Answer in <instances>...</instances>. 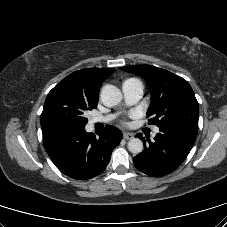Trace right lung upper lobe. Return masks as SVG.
<instances>
[{
  "label": "right lung upper lobe",
  "mask_w": 227,
  "mask_h": 227,
  "mask_svg": "<svg viewBox=\"0 0 227 227\" xmlns=\"http://www.w3.org/2000/svg\"><path fill=\"white\" fill-rule=\"evenodd\" d=\"M112 68H88L65 77L58 85L82 93L85 97L98 100L102 82L112 73Z\"/></svg>",
  "instance_id": "1"
}]
</instances>
